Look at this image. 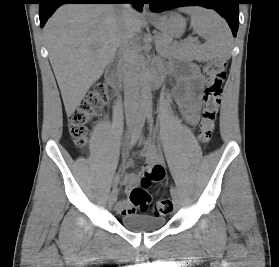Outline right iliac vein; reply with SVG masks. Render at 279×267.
I'll return each mask as SVG.
<instances>
[{
  "label": "right iliac vein",
  "instance_id": "1",
  "mask_svg": "<svg viewBox=\"0 0 279 267\" xmlns=\"http://www.w3.org/2000/svg\"><path fill=\"white\" fill-rule=\"evenodd\" d=\"M133 131H134V128H130V133L131 134L133 133ZM116 200H117V189L114 188L109 195V199H108L109 206L112 207L115 204Z\"/></svg>",
  "mask_w": 279,
  "mask_h": 267
}]
</instances>
